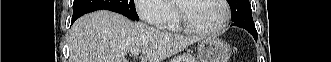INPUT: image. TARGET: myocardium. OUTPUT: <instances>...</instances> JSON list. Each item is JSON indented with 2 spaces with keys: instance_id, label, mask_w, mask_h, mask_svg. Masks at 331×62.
I'll use <instances>...</instances> for the list:
<instances>
[{
  "instance_id": "obj_1",
  "label": "myocardium",
  "mask_w": 331,
  "mask_h": 62,
  "mask_svg": "<svg viewBox=\"0 0 331 62\" xmlns=\"http://www.w3.org/2000/svg\"><path fill=\"white\" fill-rule=\"evenodd\" d=\"M218 1L220 2V4L223 7L224 14H223V19H222L221 24L217 28H214V29H203V28L197 27L194 24H192L184 13L183 3L185 1H182V0L175 1V6L177 8V13H178L179 25L184 30L191 32V33L199 34V35L208 36V35H216V34L221 33L227 27V25L229 23L230 10H229L227 1H225V0H218Z\"/></svg>"
}]
</instances>
